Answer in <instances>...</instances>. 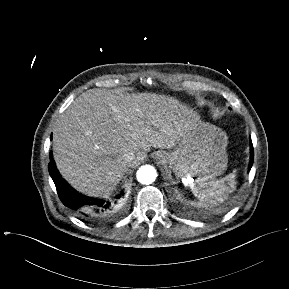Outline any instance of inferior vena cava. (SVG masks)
Masks as SVG:
<instances>
[{
	"instance_id": "1",
	"label": "inferior vena cava",
	"mask_w": 289,
	"mask_h": 289,
	"mask_svg": "<svg viewBox=\"0 0 289 289\" xmlns=\"http://www.w3.org/2000/svg\"><path fill=\"white\" fill-rule=\"evenodd\" d=\"M139 157H137L134 153H128L125 155V163L130 167L137 163Z\"/></svg>"
}]
</instances>
